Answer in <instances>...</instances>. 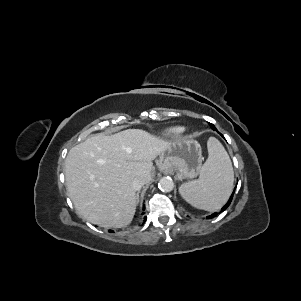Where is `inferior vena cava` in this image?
I'll return each instance as SVG.
<instances>
[{
    "instance_id": "inferior-vena-cava-1",
    "label": "inferior vena cava",
    "mask_w": 301,
    "mask_h": 301,
    "mask_svg": "<svg viewBox=\"0 0 301 301\" xmlns=\"http://www.w3.org/2000/svg\"><path fill=\"white\" fill-rule=\"evenodd\" d=\"M145 184V179L142 176H137L135 177L132 182H131V186L133 187V189L140 190L142 188V186Z\"/></svg>"
}]
</instances>
